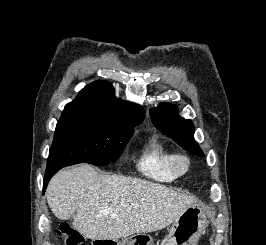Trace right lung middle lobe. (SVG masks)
<instances>
[{
    "label": "right lung middle lobe",
    "instance_id": "right-lung-middle-lobe-1",
    "mask_svg": "<svg viewBox=\"0 0 266 245\" xmlns=\"http://www.w3.org/2000/svg\"><path fill=\"white\" fill-rule=\"evenodd\" d=\"M136 125L118 123L96 115L61 116L46 170L77 163L107 165L119 158Z\"/></svg>",
    "mask_w": 266,
    "mask_h": 245
}]
</instances>
